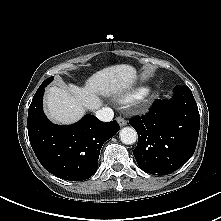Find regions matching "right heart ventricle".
<instances>
[{
    "label": "right heart ventricle",
    "instance_id": "right-heart-ventricle-1",
    "mask_svg": "<svg viewBox=\"0 0 221 221\" xmlns=\"http://www.w3.org/2000/svg\"><path fill=\"white\" fill-rule=\"evenodd\" d=\"M143 93H144V90L139 89L137 91L120 96L118 101L121 103H124V104L130 103V102H133L134 100L138 99Z\"/></svg>",
    "mask_w": 221,
    "mask_h": 221
}]
</instances>
